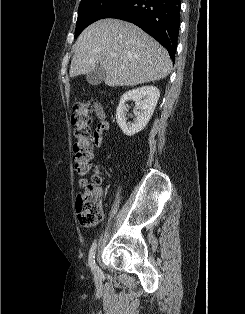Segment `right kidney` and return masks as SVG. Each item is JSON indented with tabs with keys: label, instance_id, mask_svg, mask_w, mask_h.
<instances>
[{
	"label": "right kidney",
	"instance_id": "ca27d5eb",
	"mask_svg": "<svg viewBox=\"0 0 245 314\" xmlns=\"http://www.w3.org/2000/svg\"><path fill=\"white\" fill-rule=\"evenodd\" d=\"M159 97L160 91L154 86H143L123 94L116 110V120L125 135L133 136L145 128L153 115ZM129 100L134 101L136 106L134 112L136 119L133 123L126 121L125 103Z\"/></svg>",
	"mask_w": 245,
	"mask_h": 314
}]
</instances>
